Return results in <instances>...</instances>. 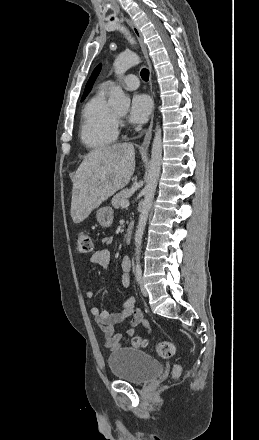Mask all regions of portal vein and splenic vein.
Returning a JSON list of instances; mask_svg holds the SVG:
<instances>
[{"instance_id":"obj_1","label":"portal vein and splenic vein","mask_w":259,"mask_h":440,"mask_svg":"<svg viewBox=\"0 0 259 440\" xmlns=\"http://www.w3.org/2000/svg\"><path fill=\"white\" fill-rule=\"evenodd\" d=\"M128 206H129V201H128V200L123 201V202L121 203V207H122V208H127Z\"/></svg>"}]
</instances>
